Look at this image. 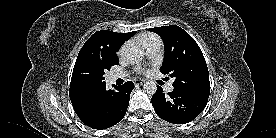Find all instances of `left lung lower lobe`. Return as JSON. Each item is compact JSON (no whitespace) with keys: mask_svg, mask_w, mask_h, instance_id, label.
Returning <instances> with one entry per match:
<instances>
[{"mask_svg":"<svg viewBox=\"0 0 276 138\" xmlns=\"http://www.w3.org/2000/svg\"><path fill=\"white\" fill-rule=\"evenodd\" d=\"M156 114L165 121L185 124L195 119L205 108L208 98L173 90L165 95L158 86L151 99Z\"/></svg>","mask_w":276,"mask_h":138,"instance_id":"0a47b994","label":"left lung lower lobe"}]
</instances>
